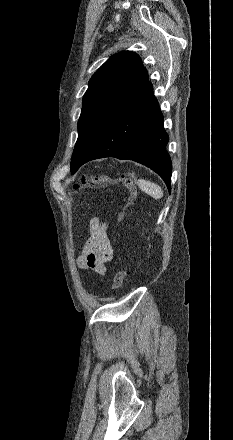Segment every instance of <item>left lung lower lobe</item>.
<instances>
[{
    "instance_id": "1",
    "label": "left lung lower lobe",
    "mask_w": 233,
    "mask_h": 440,
    "mask_svg": "<svg viewBox=\"0 0 233 440\" xmlns=\"http://www.w3.org/2000/svg\"><path fill=\"white\" fill-rule=\"evenodd\" d=\"M168 141L163 115L148 82L114 118L81 165L105 157L133 160L155 171L170 191L172 165L166 151Z\"/></svg>"
}]
</instances>
